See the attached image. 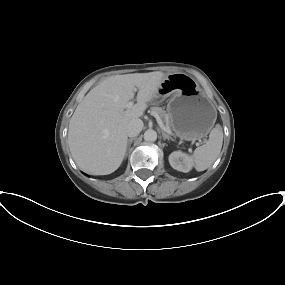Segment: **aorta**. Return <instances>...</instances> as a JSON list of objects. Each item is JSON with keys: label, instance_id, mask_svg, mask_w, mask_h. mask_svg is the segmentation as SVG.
<instances>
[{"label": "aorta", "instance_id": "aorta-1", "mask_svg": "<svg viewBox=\"0 0 285 285\" xmlns=\"http://www.w3.org/2000/svg\"><path fill=\"white\" fill-rule=\"evenodd\" d=\"M157 139V133L153 129H148L144 133V140L146 142H154Z\"/></svg>", "mask_w": 285, "mask_h": 285}]
</instances>
